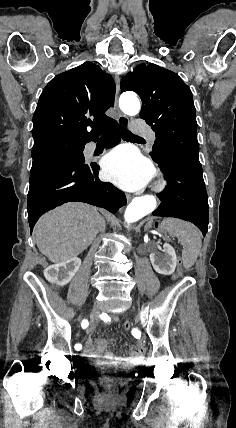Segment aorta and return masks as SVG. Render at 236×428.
Wrapping results in <instances>:
<instances>
[{"label":"aorta","mask_w":236,"mask_h":428,"mask_svg":"<svg viewBox=\"0 0 236 428\" xmlns=\"http://www.w3.org/2000/svg\"><path fill=\"white\" fill-rule=\"evenodd\" d=\"M120 109L129 116L137 115L140 111V102L133 92H125L119 99ZM157 202L154 196L145 195L135 198L126 208L124 219L127 223H133L143 218L156 209Z\"/></svg>","instance_id":"762f6f07"}]
</instances>
